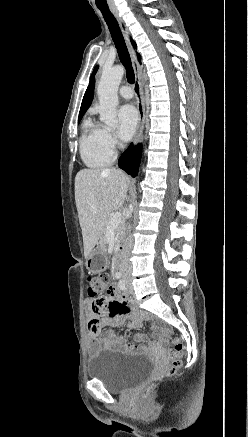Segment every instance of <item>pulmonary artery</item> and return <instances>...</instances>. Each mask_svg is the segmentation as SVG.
Wrapping results in <instances>:
<instances>
[{
	"instance_id": "pulmonary-artery-1",
	"label": "pulmonary artery",
	"mask_w": 248,
	"mask_h": 437,
	"mask_svg": "<svg viewBox=\"0 0 248 437\" xmlns=\"http://www.w3.org/2000/svg\"><path fill=\"white\" fill-rule=\"evenodd\" d=\"M119 95L125 99H131L133 97V92L129 86L124 85L120 87Z\"/></svg>"
}]
</instances>
